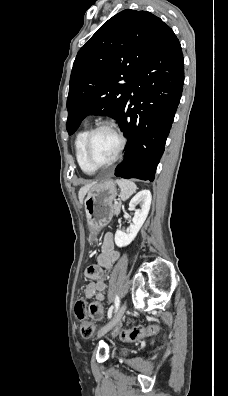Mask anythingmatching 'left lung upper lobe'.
<instances>
[{
	"label": "left lung upper lobe",
	"mask_w": 228,
	"mask_h": 396,
	"mask_svg": "<svg viewBox=\"0 0 228 396\" xmlns=\"http://www.w3.org/2000/svg\"><path fill=\"white\" fill-rule=\"evenodd\" d=\"M167 27L150 12L126 9L96 31L73 64L67 99L70 135L89 113L119 121L132 81L159 31Z\"/></svg>",
	"instance_id": "5c2ea615"
}]
</instances>
